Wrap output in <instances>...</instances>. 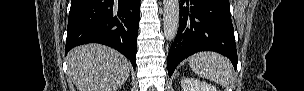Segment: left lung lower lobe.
<instances>
[{"instance_id": "1", "label": "left lung lower lobe", "mask_w": 304, "mask_h": 91, "mask_svg": "<svg viewBox=\"0 0 304 91\" xmlns=\"http://www.w3.org/2000/svg\"><path fill=\"white\" fill-rule=\"evenodd\" d=\"M180 24L167 58L169 77L176 66L199 51L228 57L234 68L238 58L229 0H181Z\"/></svg>"}]
</instances>
